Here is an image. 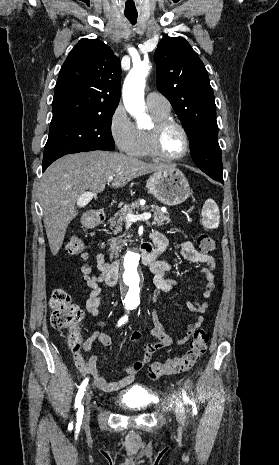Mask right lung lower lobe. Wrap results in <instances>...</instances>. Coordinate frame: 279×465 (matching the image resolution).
<instances>
[{
    "label": "right lung lower lobe",
    "instance_id": "1",
    "mask_svg": "<svg viewBox=\"0 0 279 465\" xmlns=\"http://www.w3.org/2000/svg\"><path fill=\"white\" fill-rule=\"evenodd\" d=\"M93 150H111L107 147H102V146H95V147H92V146H89L87 147L84 151H93ZM48 166H43L42 165V171H45V169L47 168Z\"/></svg>",
    "mask_w": 279,
    "mask_h": 465
}]
</instances>
